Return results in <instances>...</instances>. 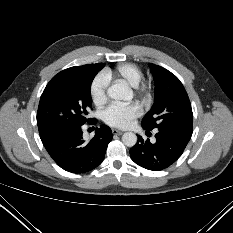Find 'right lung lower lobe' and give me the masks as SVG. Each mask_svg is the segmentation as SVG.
Listing matches in <instances>:
<instances>
[{
	"instance_id": "right-lung-lower-lobe-1",
	"label": "right lung lower lobe",
	"mask_w": 233,
	"mask_h": 233,
	"mask_svg": "<svg viewBox=\"0 0 233 233\" xmlns=\"http://www.w3.org/2000/svg\"><path fill=\"white\" fill-rule=\"evenodd\" d=\"M96 122L93 119L90 123ZM81 126L54 128L40 133L41 141L52 159L62 169L72 173L89 172L99 166L112 139L111 129L102 125L96 128L95 136L85 142Z\"/></svg>"
}]
</instances>
